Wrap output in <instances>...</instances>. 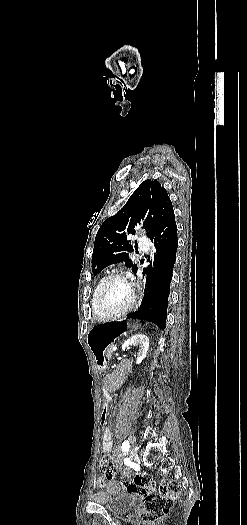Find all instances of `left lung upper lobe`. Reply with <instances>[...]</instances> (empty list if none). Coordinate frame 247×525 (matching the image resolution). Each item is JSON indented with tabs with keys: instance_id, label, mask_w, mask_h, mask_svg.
I'll return each instance as SVG.
<instances>
[{
	"instance_id": "1",
	"label": "left lung upper lobe",
	"mask_w": 247,
	"mask_h": 525,
	"mask_svg": "<svg viewBox=\"0 0 247 525\" xmlns=\"http://www.w3.org/2000/svg\"><path fill=\"white\" fill-rule=\"evenodd\" d=\"M173 213L166 189L157 180L142 182L124 207L100 226L92 254L94 274L121 261H125L136 272L137 266L132 264L125 253L133 251L127 240L128 235L135 234L137 228H143L149 238Z\"/></svg>"
}]
</instances>
